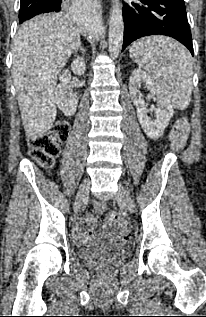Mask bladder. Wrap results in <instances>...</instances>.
Here are the masks:
<instances>
[{
	"label": "bladder",
	"instance_id": "31cf9c89",
	"mask_svg": "<svg viewBox=\"0 0 206 317\" xmlns=\"http://www.w3.org/2000/svg\"><path fill=\"white\" fill-rule=\"evenodd\" d=\"M127 253V248L110 240L97 239L92 243L82 246L77 251L80 260H94L102 257H119Z\"/></svg>",
	"mask_w": 206,
	"mask_h": 317
}]
</instances>
